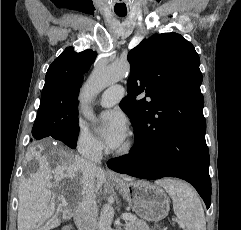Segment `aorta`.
I'll return each mask as SVG.
<instances>
[{
  "mask_svg": "<svg viewBox=\"0 0 241 230\" xmlns=\"http://www.w3.org/2000/svg\"><path fill=\"white\" fill-rule=\"evenodd\" d=\"M130 73V64L127 61H116L107 66H100L94 69L88 78L82 93L81 102L87 103L106 87L113 85ZM84 116L90 120H94V115L85 107ZM114 216V208L111 204L103 205L100 217L97 223V230H113L111 228Z\"/></svg>",
  "mask_w": 241,
  "mask_h": 230,
  "instance_id": "762f6f07",
  "label": "aorta"
}]
</instances>
